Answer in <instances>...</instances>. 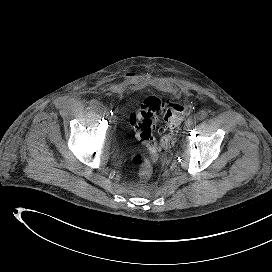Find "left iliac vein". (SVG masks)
Returning a JSON list of instances; mask_svg holds the SVG:
<instances>
[{
	"label": "left iliac vein",
	"mask_w": 272,
	"mask_h": 272,
	"mask_svg": "<svg viewBox=\"0 0 272 272\" xmlns=\"http://www.w3.org/2000/svg\"><path fill=\"white\" fill-rule=\"evenodd\" d=\"M195 123V120L193 118H189L187 121H186V124H185V127H184V132L183 133H186L187 131L190 130V128L193 126V124Z\"/></svg>",
	"instance_id": "obj_1"
}]
</instances>
